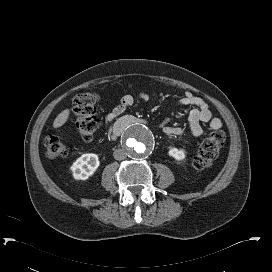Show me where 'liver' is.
<instances>
[{
  "label": "liver",
  "mask_w": 272,
  "mask_h": 272,
  "mask_svg": "<svg viewBox=\"0 0 272 272\" xmlns=\"http://www.w3.org/2000/svg\"><path fill=\"white\" fill-rule=\"evenodd\" d=\"M70 115V110L69 109H65L63 110L54 120L53 122V128H59L61 126H63Z\"/></svg>",
  "instance_id": "liver-1"
}]
</instances>
